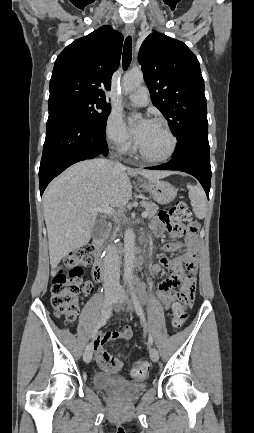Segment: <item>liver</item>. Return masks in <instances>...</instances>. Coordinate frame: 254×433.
Masks as SVG:
<instances>
[{"mask_svg":"<svg viewBox=\"0 0 254 433\" xmlns=\"http://www.w3.org/2000/svg\"><path fill=\"white\" fill-rule=\"evenodd\" d=\"M170 171L117 167L97 158L72 165L47 188L43 197L50 264L55 269L68 253L86 245L92 235L96 214L89 209L109 204L125 206L132 196L129 176L159 180Z\"/></svg>","mask_w":254,"mask_h":433,"instance_id":"6515ba94","label":"liver"}]
</instances>
